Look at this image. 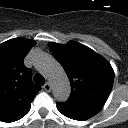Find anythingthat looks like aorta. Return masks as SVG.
Instances as JSON below:
<instances>
[{
	"mask_svg": "<svg viewBox=\"0 0 128 128\" xmlns=\"http://www.w3.org/2000/svg\"><path fill=\"white\" fill-rule=\"evenodd\" d=\"M35 66L49 78L56 100L66 101L70 96L71 87L64 69L47 53H40L36 56Z\"/></svg>",
	"mask_w": 128,
	"mask_h": 128,
	"instance_id": "762f6f07",
	"label": "aorta"
}]
</instances>
